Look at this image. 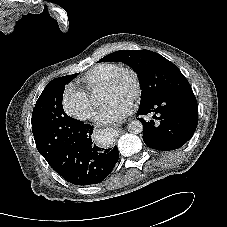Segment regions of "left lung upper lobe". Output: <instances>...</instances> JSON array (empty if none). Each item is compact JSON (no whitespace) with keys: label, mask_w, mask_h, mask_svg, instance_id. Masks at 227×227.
Segmentation results:
<instances>
[{"label":"left lung upper lobe","mask_w":227,"mask_h":227,"mask_svg":"<svg viewBox=\"0 0 227 227\" xmlns=\"http://www.w3.org/2000/svg\"><path fill=\"white\" fill-rule=\"evenodd\" d=\"M109 61L123 62L136 71L142 89L140 106L192 91L187 79L172 62L150 50H120L99 60Z\"/></svg>","instance_id":"left-lung-upper-lobe-1"}]
</instances>
